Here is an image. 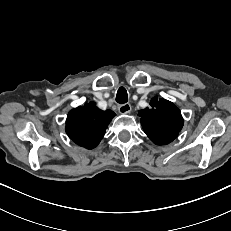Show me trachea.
<instances>
[{
    "mask_svg": "<svg viewBox=\"0 0 231 231\" xmlns=\"http://www.w3.org/2000/svg\"><path fill=\"white\" fill-rule=\"evenodd\" d=\"M128 101V94L124 87H120L117 91L116 102L119 104H124Z\"/></svg>",
    "mask_w": 231,
    "mask_h": 231,
    "instance_id": "1",
    "label": "trachea"
}]
</instances>
